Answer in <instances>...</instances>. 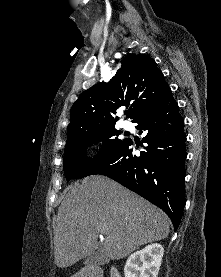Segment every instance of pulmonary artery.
<instances>
[{"label": "pulmonary artery", "instance_id": "e3ab8cb5", "mask_svg": "<svg viewBox=\"0 0 221 277\" xmlns=\"http://www.w3.org/2000/svg\"><path fill=\"white\" fill-rule=\"evenodd\" d=\"M122 125H123V127L125 128V129H131V124L129 123V122H126V121H124L123 123H122Z\"/></svg>", "mask_w": 221, "mask_h": 277}]
</instances>
